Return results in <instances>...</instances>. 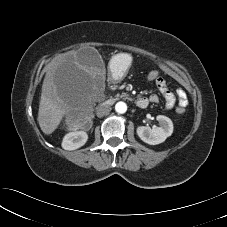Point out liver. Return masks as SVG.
Listing matches in <instances>:
<instances>
[{"mask_svg":"<svg viewBox=\"0 0 227 227\" xmlns=\"http://www.w3.org/2000/svg\"><path fill=\"white\" fill-rule=\"evenodd\" d=\"M95 76L96 72L77 61V51L60 54L47 66L38 111L43 133L55 131L80 96L83 84Z\"/></svg>","mask_w":227,"mask_h":227,"instance_id":"obj_1","label":"liver"}]
</instances>
